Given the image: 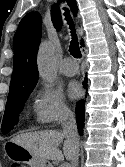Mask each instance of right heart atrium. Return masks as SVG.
<instances>
[{"label":"right heart atrium","instance_id":"right-heart-atrium-1","mask_svg":"<svg viewBox=\"0 0 125 167\" xmlns=\"http://www.w3.org/2000/svg\"><path fill=\"white\" fill-rule=\"evenodd\" d=\"M32 109L35 121L45 127L55 126L72 115L64 96L46 85L35 90Z\"/></svg>","mask_w":125,"mask_h":167}]
</instances>
